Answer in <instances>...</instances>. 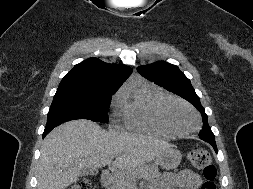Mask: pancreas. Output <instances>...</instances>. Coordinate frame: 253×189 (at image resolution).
<instances>
[{
	"instance_id": "1",
	"label": "pancreas",
	"mask_w": 253,
	"mask_h": 189,
	"mask_svg": "<svg viewBox=\"0 0 253 189\" xmlns=\"http://www.w3.org/2000/svg\"><path fill=\"white\" fill-rule=\"evenodd\" d=\"M141 175L147 180H153L160 176L158 167L155 165L146 166L141 170ZM135 179V172L120 170L110 180L107 189H131Z\"/></svg>"
}]
</instances>
